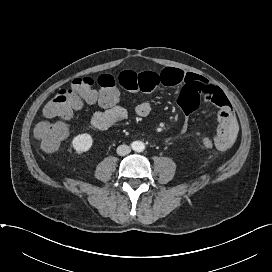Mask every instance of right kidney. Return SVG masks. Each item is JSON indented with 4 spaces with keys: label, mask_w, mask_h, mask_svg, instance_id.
Returning <instances> with one entry per match:
<instances>
[{
    "label": "right kidney",
    "mask_w": 272,
    "mask_h": 272,
    "mask_svg": "<svg viewBox=\"0 0 272 272\" xmlns=\"http://www.w3.org/2000/svg\"><path fill=\"white\" fill-rule=\"evenodd\" d=\"M92 144L93 138L88 133L79 134L76 137H74L72 141V146L77 154L87 152L92 147Z\"/></svg>",
    "instance_id": "obj_1"
}]
</instances>
